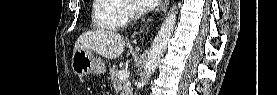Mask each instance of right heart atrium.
I'll list each match as a JSON object with an SVG mask.
<instances>
[{
  "mask_svg": "<svg viewBox=\"0 0 277 95\" xmlns=\"http://www.w3.org/2000/svg\"><path fill=\"white\" fill-rule=\"evenodd\" d=\"M132 13H133L132 9H126V11H125V14H126L127 17L131 16Z\"/></svg>",
  "mask_w": 277,
  "mask_h": 95,
  "instance_id": "obj_1",
  "label": "right heart atrium"
}]
</instances>
